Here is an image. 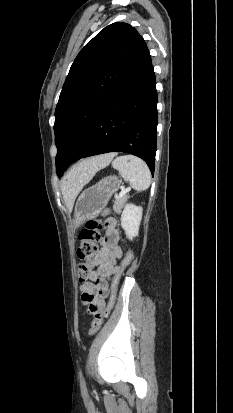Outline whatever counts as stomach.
Here are the masks:
<instances>
[{"mask_svg":"<svg viewBox=\"0 0 233 413\" xmlns=\"http://www.w3.org/2000/svg\"><path fill=\"white\" fill-rule=\"evenodd\" d=\"M120 184L121 180L116 176H108L85 189L76 202L72 220L74 227L78 228L87 220L99 216L111 196L119 189Z\"/></svg>","mask_w":233,"mask_h":413,"instance_id":"0dacf381","label":"stomach"}]
</instances>
